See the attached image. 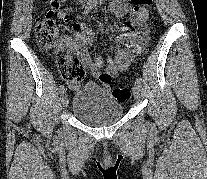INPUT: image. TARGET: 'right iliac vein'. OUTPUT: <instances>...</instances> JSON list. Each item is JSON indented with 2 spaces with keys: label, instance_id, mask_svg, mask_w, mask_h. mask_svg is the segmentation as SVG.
Returning <instances> with one entry per match:
<instances>
[{
  "label": "right iliac vein",
  "instance_id": "obj_1",
  "mask_svg": "<svg viewBox=\"0 0 207 179\" xmlns=\"http://www.w3.org/2000/svg\"><path fill=\"white\" fill-rule=\"evenodd\" d=\"M61 102L64 108L68 106L69 101L65 92L61 95Z\"/></svg>",
  "mask_w": 207,
  "mask_h": 179
}]
</instances>
